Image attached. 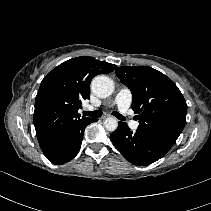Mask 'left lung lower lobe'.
<instances>
[{
	"label": "left lung lower lobe",
	"instance_id": "0a47b994",
	"mask_svg": "<svg viewBox=\"0 0 211 211\" xmlns=\"http://www.w3.org/2000/svg\"><path fill=\"white\" fill-rule=\"evenodd\" d=\"M110 139L129 162L138 166L156 162L167 153L147 135L138 129L132 132L127 123L121 121L118 122V128L110 135Z\"/></svg>",
	"mask_w": 211,
	"mask_h": 211
}]
</instances>
